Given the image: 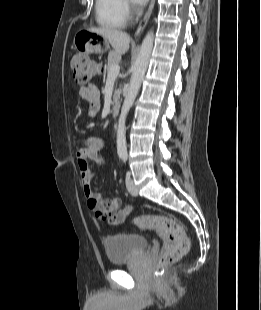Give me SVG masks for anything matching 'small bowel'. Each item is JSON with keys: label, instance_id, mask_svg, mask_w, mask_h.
<instances>
[{"label": "small bowel", "instance_id": "small-bowel-1", "mask_svg": "<svg viewBox=\"0 0 261 310\" xmlns=\"http://www.w3.org/2000/svg\"><path fill=\"white\" fill-rule=\"evenodd\" d=\"M81 96L90 103V115H95L99 109V92L94 85H87L80 89ZM106 141L99 138L83 139L76 153L77 165L81 178L82 190L86 199L87 207L96 218L106 221L110 225L123 223L132 213L133 207H121V201L117 197L91 190V180L95 175L89 165V161L105 163L104 149Z\"/></svg>", "mask_w": 261, "mask_h": 310}]
</instances>
